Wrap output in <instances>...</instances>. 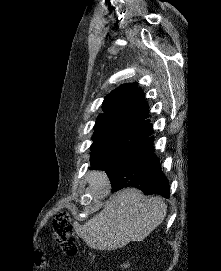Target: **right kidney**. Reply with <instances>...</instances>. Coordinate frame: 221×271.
Listing matches in <instances>:
<instances>
[{
  "label": "right kidney",
  "mask_w": 221,
  "mask_h": 271,
  "mask_svg": "<svg viewBox=\"0 0 221 271\" xmlns=\"http://www.w3.org/2000/svg\"><path fill=\"white\" fill-rule=\"evenodd\" d=\"M129 263H124L123 267H128Z\"/></svg>",
  "instance_id": "ca27d5eb"
}]
</instances>
